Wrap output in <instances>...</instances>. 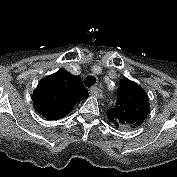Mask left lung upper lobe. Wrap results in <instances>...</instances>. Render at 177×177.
I'll use <instances>...</instances> for the list:
<instances>
[{
    "label": "left lung upper lobe",
    "instance_id": "1",
    "mask_svg": "<svg viewBox=\"0 0 177 177\" xmlns=\"http://www.w3.org/2000/svg\"><path fill=\"white\" fill-rule=\"evenodd\" d=\"M150 110L144 89L127 78L121 80L116 106L107 111L108 120L122 130H133L146 119Z\"/></svg>",
    "mask_w": 177,
    "mask_h": 177
}]
</instances>
